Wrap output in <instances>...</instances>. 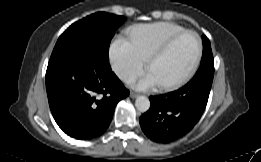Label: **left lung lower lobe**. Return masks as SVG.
<instances>
[{
    "label": "left lung lower lobe",
    "mask_w": 261,
    "mask_h": 162,
    "mask_svg": "<svg viewBox=\"0 0 261 162\" xmlns=\"http://www.w3.org/2000/svg\"><path fill=\"white\" fill-rule=\"evenodd\" d=\"M213 76L199 73L177 91L151 96L150 109L140 117L146 136L157 143H169L190 132L205 110Z\"/></svg>",
    "instance_id": "left-lung-lower-lobe-1"
}]
</instances>
